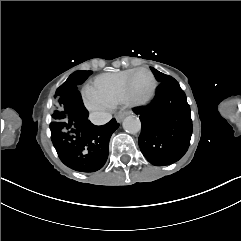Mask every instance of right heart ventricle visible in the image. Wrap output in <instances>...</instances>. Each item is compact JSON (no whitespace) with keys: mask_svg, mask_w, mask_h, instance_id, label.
I'll return each instance as SVG.
<instances>
[{"mask_svg":"<svg viewBox=\"0 0 241 241\" xmlns=\"http://www.w3.org/2000/svg\"><path fill=\"white\" fill-rule=\"evenodd\" d=\"M135 71L136 70H127L100 74L86 86L84 93L90 97H97L106 101L111 107L126 102V79ZM136 78L133 81H136ZM132 95H134V93H130V98ZM122 97L124 98L122 99Z\"/></svg>","mask_w":241,"mask_h":241,"instance_id":"e07e8e85","label":"right heart ventricle"}]
</instances>
